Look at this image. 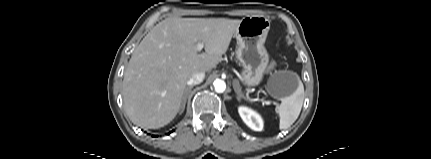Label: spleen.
I'll use <instances>...</instances> for the list:
<instances>
[{
    "label": "spleen",
    "instance_id": "obj_1",
    "mask_svg": "<svg viewBox=\"0 0 431 159\" xmlns=\"http://www.w3.org/2000/svg\"><path fill=\"white\" fill-rule=\"evenodd\" d=\"M304 101V86L300 81L296 92L291 96L284 98L279 106L276 107V112L280 117V129L289 128L298 118Z\"/></svg>",
    "mask_w": 431,
    "mask_h": 159
}]
</instances>
